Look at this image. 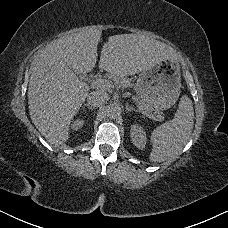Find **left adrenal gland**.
<instances>
[{"instance_id": "1", "label": "left adrenal gland", "mask_w": 228, "mask_h": 228, "mask_svg": "<svg viewBox=\"0 0 228 228\" xmlns=\"http://www.w3.org/2000/svg\"><path fill=\"white\" fill-rule=\"evenodd\" d=\"M126 112L127 113H129V112H136V110L134 108H132L131 106L126 105Z\"/></svg>"}]
</instances>
